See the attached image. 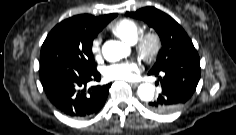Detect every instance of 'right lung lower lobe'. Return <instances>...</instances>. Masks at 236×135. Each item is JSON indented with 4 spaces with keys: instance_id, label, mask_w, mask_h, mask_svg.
I'll use <instances>...</instances> for the list:
<instances>
[{
    "instance_id": "right-lung-lower-lobe-1",
    "label": "right lung lower lobe",
    "mask_w": 236,
    "mask_h": 135,
    "mask_svg": "<svg viewBox=\"0 0 236 135\" xmlns=\"http://www.w3.org/2000/svg\"><path fill=\"white\" fill-rule=\"evenodd\" d=\"M100 77L96 69H40L42 86L50 102L61 113L73 118L97 114L104 106L111 83L87 85L90 81L99 82Z\"/></svg>"
}]
</instances>
